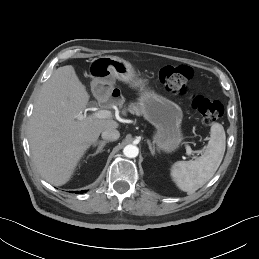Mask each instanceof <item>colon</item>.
I'll use <instances>...</instances> for the list:
<instances>
[{
  "label": "colon",
  "mask_w": 259,
  "mask_h": 259,
  "mask_svg": "<svg viewBox=\"0 0 259 259\" xmlns=\"http://www.w3.org/2000/svg\"><path fill=\"white\" fill-rule=\"evenodd\" d=\"M193 77V70L186 65L164 66L159 71V79L165 89L175 95H185L189 82ZM191 106L196 110L206 125L216 122L223 114L222 104L215 99L196 95L191 98Z\"/></svg>",
  "instance_id": "colon-1"
}]
</instances>
